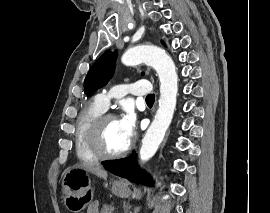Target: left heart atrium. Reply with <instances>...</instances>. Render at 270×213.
<instances>
[{"mask_svg":"<svg viewBox=\"0 0 270 213\" xmlns=\"http://www.w3.org/2000/svg\"><path fill=\"white\" fill-rule=\"evenodd\" d=\"M118 121L124 137L129 144L135 135V115L131 110L127 109Z\"/></svg>","mask_w":270,"mask_h":213,"instance_id":"obj_1","label":"left heart atrium"}]
</instances>
